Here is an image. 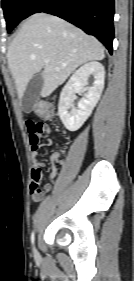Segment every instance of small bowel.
<instances>
[{
	"label": "small bowel",
	"instance_id": "small-bowel-1",
	"mask_svg": "<svg viewBox=\"0 0 134 281\" xmlns=\"http://www.w3.org/2000/svg\"><path fill=\"white\" fill-rule=\"evenodd\" d=\"M26 127L29 133L33 163L31 169V183H38V186L41 191L39 195H32V198L36 201H39L43 198L44 194L48 192L51 188L50 184H45L41 187L44 164L38 159L39 149L43 146H51L52 144V141L48 138L50 134V127L44 122L34 120H27ZM41 139H44L43 143H41ZM50 160L51 170L49 178L53 179L58 173V165H62L63 162L59 159L58 153H54L51 156Z\"/></svg>",
	"mask_w": 134,
	"mask_h": 281
}]
</instances>
